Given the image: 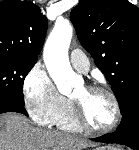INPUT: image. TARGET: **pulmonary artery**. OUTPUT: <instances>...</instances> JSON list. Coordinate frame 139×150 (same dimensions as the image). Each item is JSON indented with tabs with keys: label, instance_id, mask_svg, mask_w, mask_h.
<instances>
[{
	"label": "pulmonary artery",
	"instance_id": "pulmonary-artery-1",
	"mask_svg": "<svg viewBox=\"0 0 139 150\" xmlns=\"http://www.w3.org/2000/svg\"><path fill=\"white\" fill-rule=\"evenodd\" d=\"M72 66L79 72L86 73L89 70V60L79 49H74L70 53Z\"/></svg>",
	"mask_w": 139,
	"mask_h": 150
}]
</instances>
